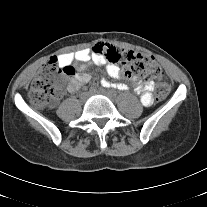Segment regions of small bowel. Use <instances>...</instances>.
Wrapping results in <instances>:
<instances>
[{"label":"small bowel","mask_w":207,"mask_h":207,"mask_svg":"<svg viewBox=\"0 0 207 207\" xmlns=\"http://www.w3.org/2000/svg\"><path fill=\"white\" fill-rule=\"evenodd\" d=\"M57 59L61 66H71L74 70V74L69 78L67 84V90L69 92H76L90 81V75L87 70L91 65L104 66L107 75L111 78L123 76L119 66L108 62L94 47L92 50L81 49L76 52L61 54ZM132 82L136 92L140 94L141 102L145 106L151 105L154 100L152 94L153 83L141 82L136 78H133ZM99 86L110 91L129 92L131 90V84L129 82H113L106 78L99 80Z\"/></svg>","instance_id":"obj_1"}]
</instances>
